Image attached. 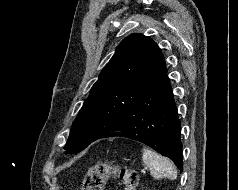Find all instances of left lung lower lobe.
<instances>
[{
    "mask_svg": "<svg viewBox=\"0 0 238 190\" xmlns=\"http://www.w3.org/2000/svg\"><path fill=\"white\" fill-rule=\"evenodd\" d=\"M118 135L150 146L183 170L181 123L166 69L104 137Z\"/></svg>",
    "mask_w": 238,
    "mask_h": 190,
    "instance_id": "0a47b994",
    "label": "left lung lower lobe"
}]
</instances>
